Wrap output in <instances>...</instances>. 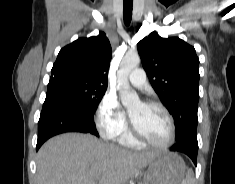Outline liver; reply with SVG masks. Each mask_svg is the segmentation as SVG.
Masks as SVG:
<instances>
[{"label":"liver","instance_id":"1","mask_svg":"<svg viewBox=\"0 0 235 184\" xmlns=\"http://www.w3.org/2000/svg\"><path fill=\"white\" fill-rule=\"evenodd\" d=\"M155 152H130L104 144L91 134H60L43 144L37 154L38 184H125L140 174Z\"/></svg>","mask_w":235,"mask_h":184}]
</instances>
